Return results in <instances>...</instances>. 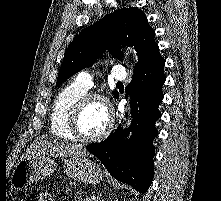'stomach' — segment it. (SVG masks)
Returning a JSON list of instances; mask_svg holds the SVG:
<instances>
[{
	"label": "stomach",
	"instance_id": "obj_1",
	"mask_svg": "<svg viewBox=\"0 0 221 201\" xmlns=\"http://www.w3.org/2000/svg\"><path fill=\"white\" fill-rule=\"evenodd\" d=\"M57 164L47 155H34L21 159L15 166L10 183L16 190L46 178L54 173ZM66 174L79 182L98 184L103 174L101 169L86 155L71 156L64 159Z\"/></svg>",
	"mask_w": 221,
	"mask_h": 201
}]
</instances>
